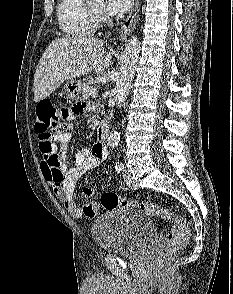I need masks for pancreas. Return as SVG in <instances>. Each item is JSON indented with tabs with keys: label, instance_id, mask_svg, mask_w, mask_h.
Returning a JSON list of instances; mask_svg holds the SVG:
<instances>
[{
	"label": "pancreas",
	"instance_id": "pancreas-1",
	"mask_svg": "<svg viewBox=\"0 0 233 294\" xmlns=\"http://www.w3.org/2000/svg\"><path fill=\"white\" fill-rule=\"evenodd\" d=\"M91 80L87 79L82 84V99H88L90 97V90L92 89Z\"/></svg>",
	"mask_w": 233,
	"mask_h": 294
}]
</instances>
